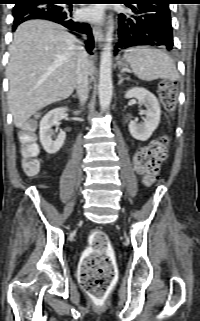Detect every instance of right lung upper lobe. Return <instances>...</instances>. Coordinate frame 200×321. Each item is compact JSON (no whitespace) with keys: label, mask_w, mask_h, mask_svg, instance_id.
<instances>
[{"label":"right lung upper lobe","mask_w":200,"mask_h":321,"mask_svg":"<svg viewBox=\"0 0 200 321\" xmlns=\"http://www.w3.org/2000/svg\"><path fill=\"white\" fill-rule=\"evenodd\" d=\"M14 1H15V4L17 5V4H20V3L25 2L27 0H14Z\"/></svg>","instance_id":"1"}]
</instances>
